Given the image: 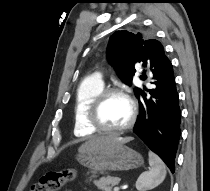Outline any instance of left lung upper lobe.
I'll list each match as a JSON object with an SVG mask.
<instances>
[{
  "label": "left lung upper lobe",
  "instance_id": "1",
  "mask_svg": "<svg viewBox=\"0 0 210 191\" xmlns=\"http://www.w3.org/2000/svg\"><path fill=\"white\" fill-rule=\"evenodd\" d=\"M107 53L109 62L121 80L128 85L132 83L136 62H142L144 67L149 66L152 70L160 64L163 57H167L159 41L145 40L141 33L134 34L126 30L112 34ZM134 92L138 97L142 89L136 87Z\"/></svg>",
  "mask_w": 210,
  "mask_h": 191
}]
</instances>
